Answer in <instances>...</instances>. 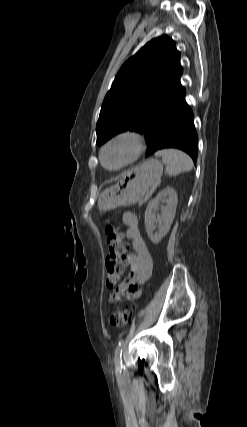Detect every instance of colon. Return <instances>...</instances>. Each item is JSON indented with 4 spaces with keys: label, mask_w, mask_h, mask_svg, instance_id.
<instances>
[{
    "label": "colon",
    "mask_w": 247,
    "mask_h": 427,
    "mask_svg": "<svg viewBox=\"0 0 247 427\" xmlns=\"http://www.w3.org/2000/svg\"><path fill=\"white\" fill-rule=\"evenodd\" d=\"M104 231L110 250L106 259V284L108 287H115L126 268L128 260L127 245L123 240L121 232L115 225L108 222L105 225ZM130 320L131 312L127 308L117 309L110 316V323L114 327H124Z\"/></svg>",
    "instance_id": "5ec220e1"
}]
</instances>
